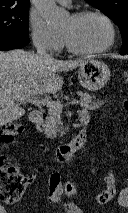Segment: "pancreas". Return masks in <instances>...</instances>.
I'll list each match as a JSON object with an SVG mask.
<instances>
[{
    "label": "pancreas",
    "instance_id": "1",
    "mask_svg": "<svg viewBox=\"0 0 128 213\" xmlns=\"http://www.w3.org/2000/svg\"><path fill=\"white\" fill-rule=\"evenodd\" d=\"M77 95L80 97V100L78 102L79 105L83 108H89L93 97L90 94L81 91H78ZM61 125V111L49 109L48 116L45 118V122L42 125L47 137L54 138L57 135L63 136L64 134H66L68 129L62 128Z\"/></svg>",
    "mask_w": 128,
    "mask_h": 213
}]
</instances>
